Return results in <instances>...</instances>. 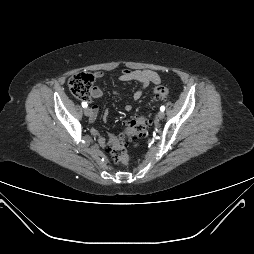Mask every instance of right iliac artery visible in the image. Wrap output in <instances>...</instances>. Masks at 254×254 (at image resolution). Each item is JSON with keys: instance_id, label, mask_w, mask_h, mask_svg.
I'll return each mask as SVG.
<instances>
[{"instance_id": "1", "label": "right iliac artery", "mask_w": 254, "mask_h": 254, "mask_svg": "<svg viewBox=\"0 0 254 254\" xmlns=\"http://www.w3.org/2000/svg\"><path fill=\"white\" fill-rule=\"evenodd\" d=\"M81 105H82L83 108H86V107H87V103H86V102H82Z\"/></svg>"}]
</instances>
